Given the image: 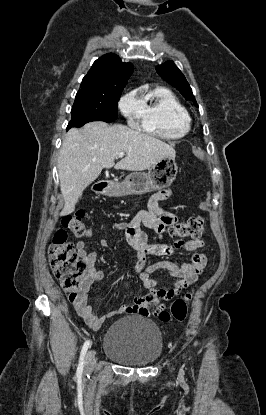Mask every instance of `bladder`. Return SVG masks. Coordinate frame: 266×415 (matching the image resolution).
Here are the masks:
<instances>
[{"instance_id": "31cf9c89", "label": "bladder", "mask_w": 266, "mask_h": 415, "mask_svg": "<svg viewBox=\"0 0 266 415\" xmlns=\"http://www.w3.org/2000/svg\"><path fill=\"white\" fill-rule=\"evenodd\" d=\"M103 350L121 364L145 366L161 356L163 338L152 321L139 316L126 317L110 325L104 336Z\"/></svg>"}]
</instances>
